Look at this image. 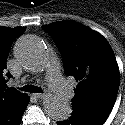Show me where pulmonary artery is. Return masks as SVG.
<instances>
[{
	"instance_id": "obj_1",
	"label": "pulmonary artery",
	"mask_w": 125,
	"mask_h": 125,
	"mask_svg": "<svg viewBox=\"0 0 125 125\" xmlns=\"http://www.w3.org/2000/svg\"><path fill=\"white\" fill-rule=\"evenodd\" d=\"M47 81L51 89L63 100L70 99L73 91L59 72L58 63L50 62L47 70Z\"/></svg>"
}]
</instances>
